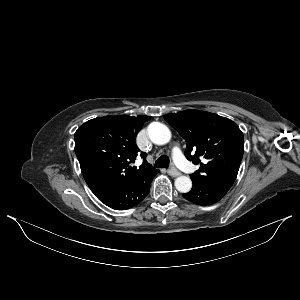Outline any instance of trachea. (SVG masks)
<instances>
[{
    "instance_id": "obj_1",
    "label": "trachea",
    "mask_w": 300,
    "mask_h": 300,
    "mask_svg": "<svg viewBox=\"0 0 300 300\" xmlns=\"http://www.w3.org/2000/svg\"><path fill=\"white\" fill-rule=\"evenodd\" d=\"M169 158L166 155L160 156L155 162V168H168L169 167Z\"/></svg>"
}]
</instances>
